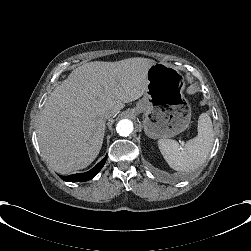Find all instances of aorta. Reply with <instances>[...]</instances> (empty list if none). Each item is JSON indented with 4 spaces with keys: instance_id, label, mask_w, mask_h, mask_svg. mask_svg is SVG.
I'll return each mask as SVG.
<instances>
[{
    "instance_id": "1",
    "label": "aorta",
    "mask_w": 251,
    "mask_h": 251,
    "mask_svg": "<svg viewBox=\"0 0 251 251\" xmlns=\"http://www.w3.org/2000/svg\"><path fill=\"white\" fill-rule=\"evenodd\" d=\"M116 130L120 136H129L133 131V122L130 119H122L118 122Z\"/></svg>"
}]
</instances>
